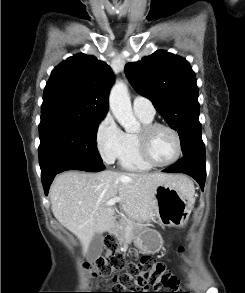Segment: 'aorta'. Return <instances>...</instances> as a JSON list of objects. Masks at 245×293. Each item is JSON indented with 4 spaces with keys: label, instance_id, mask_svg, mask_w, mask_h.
I'll use <instances>...</instances> for the list:
<instances>
[{
    "label": "aorta",
    "instance_id": "762f6f07",
    "mask_svg": "<svg viewBox=\"0 0 245 293\" xmlns=\"http://www.w3.org/2000/svg\"><path fill=\"white\" fill-rule=\"evenodd\" d=\"M110 109L126 132H135L139 128L131 106L128 88L123 82H116L109 95Z\"/></svg>",
    "mask_w": 245,
    "mask_h": 293
}]
</instances>
